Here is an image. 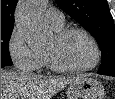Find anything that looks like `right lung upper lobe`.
<instances>
[{
    "label": "right lung upper lobe",
    "instance_id": "right-lung-upper-lobe-1",
    "mask_svg": "<svg viewBox=\"0 0 115 99\" xmlns=\"http://www.w3.org/2000/svg\"><path fill=\"white\" fill-rule=\"evenodd\" d=\"M18 0H1V28L14 27V10Z\"/></svg>",
    "mask_w": 115,
    "mask_h": 99
}]
</instances>
